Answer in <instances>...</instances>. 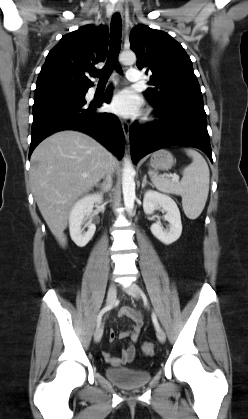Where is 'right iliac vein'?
Wrapping results in <instances>:
<instances>
[{"label": "right iliac vein", "instance_id": "1", "mask_svg": "<svg viewBox=\"0 0 248 419\" xmlns=\"http://www.w3.org/2000/svg\"><path fill=\"white\" fill-rule=\"evenodd\" d=\"M116 296H117V289H116V285L114 283H111L109 285L108 288V292H107V306H112L116 300ZM103 335V325L100 324L99 326H97L95 333H94V341L95 342H99L102 338Z\"/></svg>", "mask_w": 248, "mask_h": 419}]
</instances>
